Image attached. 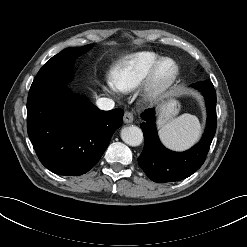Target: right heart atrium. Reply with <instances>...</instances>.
<instances>
[{"label":"right heart atrium","instance_id":"1","mask_svg":"<svg viewBox=\"0 0 247 247\" xmlns=\"http://www.w3.org/2000/svg\"><path fill=\"white\" fill-rule=\"evenodd\" d=\"M109 90H110V91H114V88L110 85V86H109Z\"/></svg>","mask_w":247,"mask_h":247}]
</instances>
